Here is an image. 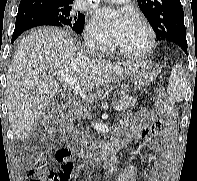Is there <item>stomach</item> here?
<instances>
[{"label":"stomach","mask_w":197,"mask_h":181,"mask_svg":"<svg viewBox=\"0 0 197 181\" xmlns=\"http://www.w3.org/2000/svg\"><path fill=\"white\" fill-rule=\"evenodd\" d=\"M157 67L148 61H140L136 63L135 69L131 74L132 82L139 88L149 86L157 77Z\"/></svg>","instance_id":"0dacf381"}]
</instances>
